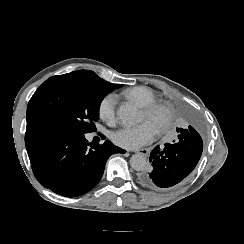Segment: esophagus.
Listing matches in <instances>:
<instances>
[{
  "mask_svg": "<svg viewBox=\"0 0 244 244\" xmlns=\"http://www.w3.org/2000/svg\"><path fill=\"white\" fill-rule=\"evenodd\" d=\"M134 152L137 154H142L144 156H148L149 149L148 148H142V149L134 150Z\"/></svg>",
  "mask_w": 244,
  "mask_h": 244,
  "instance_id": "esophagus-1",
  "label": "esophagus"
}]
</instances>
